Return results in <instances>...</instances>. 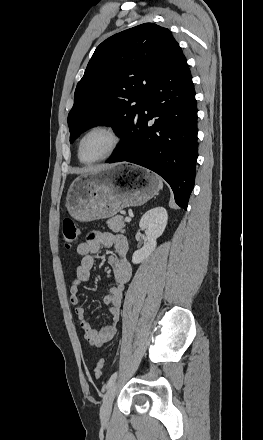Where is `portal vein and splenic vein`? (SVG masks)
Instances as JSON below:
<instances>
[{
    "instance_id": "portal-vein-and-splenic-vein-1",
    "label": "portal vein and splenic vein",
    "mask_w": 263,
    "mask_h": 440,
    "mask_svg": "<svg viewBox=\"0 0 263 440\" xmlns=\"http://www.w3.org/2000/svg\"><path fill=\"white\" fill-rule=\"evenodd\" d=\"M125 221H126V222H130V221H131V218H130L129 216H126V217H125Z\"/></svg>"
}]
</instances>
